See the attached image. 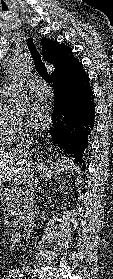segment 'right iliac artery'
Masks as SVG:
<instances>
[{
    "instance_id": "obj_1",
    "label": "right iliac artery",
    "mask_w": 113,
    "mask_h": 279,
    "mask_svg": "<svg viewBox=\"0 0 113 279\" xmlns=\"http://www.w3.org/2000/svg\"><path fill=\"white\" fill-rule=\"evenodd\" d=\"M10 276L13 277V279H21L23 274L21 270L16 269L11 271Z\"/></svg>"
}]
</instances>
